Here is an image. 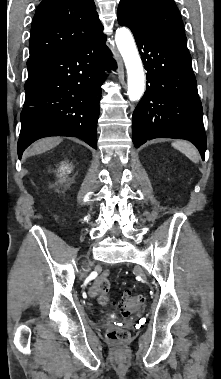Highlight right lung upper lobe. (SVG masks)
I'll list each match as a JSON object with an SVG mask.
<instances>
[{
    "label": "right lung upper lobe",
    "mask_w": 221,
    "mask_h": 379,
    "mask_svg": "<svg viewBox=\"0 0 221 379\" xmlns=\"http://www.w3.org/2000/svg\"><path fill=\"white\" fill-rule=\"evenodd\" d=\"M102 28L93 0H42L32 21L27 64L75 47Z\"/></svg>",
    "instance_id": "obj_1"
}]
</instances>
